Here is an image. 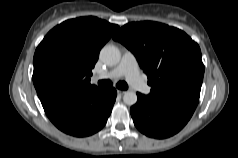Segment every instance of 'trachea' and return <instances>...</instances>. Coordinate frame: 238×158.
<instances>
[{"label":"trachea","mask_w":238,"mask_h":158,"mask_svg":"<svg viewBox=\"0 0 238 158\" xmlns=\"http://www.w3.org/2000/svg\"><path fill=\"white\" fill-rule=\"evenodd\" d=\"M98 85L101 86V87H110L112 85V82L110 80H100V81H98ZM116 87L118 89H121V90H127L128 89V85L124 81H119L116 84Z\"/></svg>","instance_id":"obj_1"}]
</instances>
